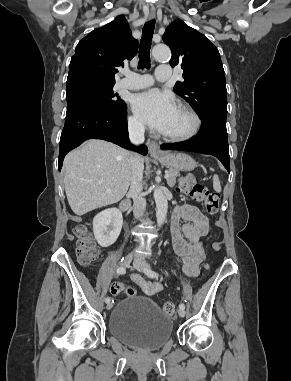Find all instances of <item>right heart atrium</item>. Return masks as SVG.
<instances>
[{
	"label": "right heart atrium",
	"instance_id": "d8ad5b80",
	"mask_svg": "<svg viewBox=\"0 0 291 381\" xmlns=\"http://www.w3.org/2000/svg\"><path fill=\"white\" fill-rule=\"evenodd\" d=\"M128 125L130 129L134 131H142L144 129V125L142 121L137 116H129L128 118Z\"/></svg>",
	"mask_w": 291,
	"mask_h": 381
}]
</instances>
